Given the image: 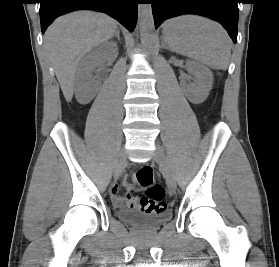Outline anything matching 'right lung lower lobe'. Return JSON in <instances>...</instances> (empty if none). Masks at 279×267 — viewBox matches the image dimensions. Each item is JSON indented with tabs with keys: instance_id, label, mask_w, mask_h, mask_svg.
Returning <instances> with one entry per match:
<instances>
[{
	"instance_id": "right-lung-lower-lobe-1",
	"label": "right lung lower lobe",
	"mask_w": 279,
	"mask_h": 267,
	"mask_svg": "<svg viewBox=\"0 0 279 267\" xmlns=\"http://www.w3.org/2000/svg\"><path fill=\"white\" fill-rule=\"evenodd\" d=\"M138 0H40L42 33L52 21L64 13L79 9H94L109 14L130 31L137 18Z\"/></svg>"
}]
</instances>
